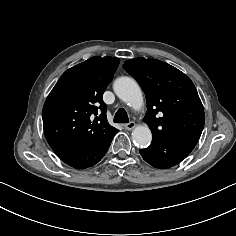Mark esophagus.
<instances>
[{"instance_id": "esophagus-1", "label": "esophagus", "mask_w": 236, "mask_h": 236, "mask_svg": "<svg viewBox=\"0 0 236 236\" xmlns=\"http://www.w3.org/2000/svg\"><path fill=\"white\" fill-rule=\"evenodd\" d=\"M135 126H136V124H135L133 121H131V122L125 124V128H126L127 130H132V129L135 128Z\"/></svg>"}]
</instances>
